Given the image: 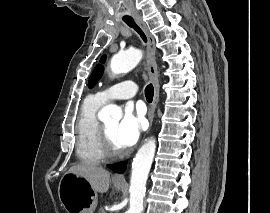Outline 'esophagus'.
Listing matches in <instances>:
<instances>
[{
	"instance_id": "obj_1",
	"label": "esophagus",
	"mask_w": 270,
	"mask_h": 213,
	"mask_svg": "<svg viewBox=\"0 0 270 213\" xmlns=\"http://www.w3.org/2000/svg\"><path fill=\"white\" fill-rule=\"evenodd\" d=\"M135 21L147 37V63L146 65H147L150 80L154 86L153 102L150 105L149 110H148V120H149L148 132H149L152 126V122H153V118H154L155 110H156V105L158 103L159 93H160L158 69H157V64L155 60L156 47H155L154 37L150 33L147 24L140 17H135ZM113 181L125 183L124 174L123 173L115 174L113 176Z\"/></svg>"
}]
</instances>
